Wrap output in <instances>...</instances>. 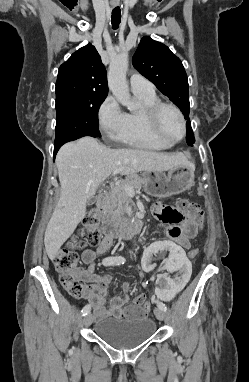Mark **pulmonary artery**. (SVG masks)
I'll list each match as a JSON object with an SVG mask.
<instances>
[{
    "instance_id": "1",
    "label": "pulmonary artery",
    "mask_w": 249,
    "mask_h": 382,
    "mask_svg": "<svg viewBox=\"0 0 249 382\" xmlns=\"http://www.w3.org/2000/svg\"><path fill=\"white\" fill-rule=\"evenodd\" d=\"M130 88L133 93H144L152 94L154 93L153 84L139 74H132L130 76Z\"/></svg>"
}]
</instances>
